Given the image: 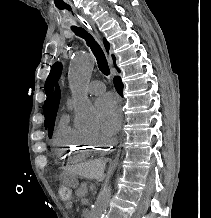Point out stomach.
<instances>
[{
    "label": "stomach",
    "mask_w": 211,
    "mask_h": 218,
    "mask_svg": "<svg viewBox=\"0 0 211 218\" xmlns=\"http://www.w3.org/2000/svg\"><path fill=\"white\" fill-rule=\"evenodd\" d=\"M64 183L69 187H77L78 186V180L77 176L75 174H68L64 177Z\"/></svg>",
    "instance_id": "obj_1"
}]
</instances>
